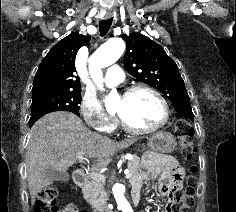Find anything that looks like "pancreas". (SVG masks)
Returning a JSON list of instances; mask_svg holds the SVG:
<instances>
[{
	"label": "pancreas",
	"instance_id": "pancreas-1",
	"mask_svg": "<svg viewBox=\"0 0 236 212\" xmlns=\"http://www.w3.org/2000/svg\"><path fill=\"white\" fill-rule=\"evenodd\" d=\"M140 159L134 156L127 164L131 176L140 170ZM104 180L92 179L84 190V197L96 210H101L106 203V191L104 189Z\"/></svg>",
	"mask_w": 236,
	"mask_h": 212
}]
</instances>
